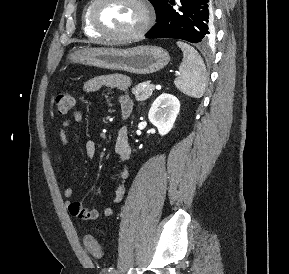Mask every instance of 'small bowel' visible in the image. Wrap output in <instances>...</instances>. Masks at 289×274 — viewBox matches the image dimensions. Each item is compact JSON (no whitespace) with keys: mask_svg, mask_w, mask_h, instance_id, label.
Masks as SVG:
<instances>
[{"mask_svg":"<svg viewBox=\"0 0 289 274\" xmlns=\"http://www.w3.org/2000/svg\"><path fill=\"white\" fill-rule=\"evenodd\" d=\"M130 86V79L124 75L120 74H111V75H102L90 78L87 80L82 87V90L85 93L96 92L103 88H112L118 89L123 92L120 96V105L122 113L132 110V101L127 95V90ZM83 113L79 110H76L72 113L71 117L65 120L59 131V140L63 148L68 144V130L71 124L80 123L83 121ZM97 146L93 140H88L85 143V154L89 158H93L96 155ZM115 152L119 156V160L123 166V169L119 175V182L114 190V196L111 200V204L119 203L125 193L124 182L129 175L127 162L130 158V147L128 143V129L126 126H123L119 129L116 142H115ZM62 156L57 155V162L61 163ZM64 197L66 199V205L69 209V212L72 216L81 219V220H98L102 218H108L113 213L112 206H106L102 209L98 208H88L84 206L81 202L73 200V188L68 186L64 189Z\"/></svg>","mask_w":289,"mask_h":274,"instance_id":"1","label":"small bowel"}]
</instances>
